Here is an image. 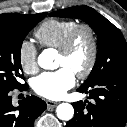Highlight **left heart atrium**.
Masks as SVG:
<instances>
[{
	"mask_svg": "<svg viewBox=\"0 0 127 127\" xmlns=\"http://www.w3.org/2000/svg\"><path fill=\"white\" fill-rule=\"evenodd\" d=\"M74 84L75 73L67 67L54 72H44L32 82L33 89L38 95L52 100L62 98Z\"/></svg>",
	"mask_w": 127,
	"mask_h": 127,
	"instance_id": "1",
	"label": "left heart atrium"
}]
</instances>
